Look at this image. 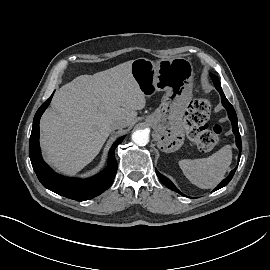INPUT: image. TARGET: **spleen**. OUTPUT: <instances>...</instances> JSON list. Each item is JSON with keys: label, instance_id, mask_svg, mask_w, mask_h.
I'll list each match as a JSON object with an SVG mask.
<instances>
[{"label": "spleen", "instance_id": "obj_1", "mask_svg": "<svg viewBox=\"0 0 270 270\" xmlns=\"http://www.w3.org/2000/svg\"><path fill=\"white\" fill-rule=\"evenodd\" d=\"M231 161V146L226 145L207 158L180 160L179 166L192 184L202 189H210L223 180Z\"/></svg>", "mask_w": 270, "mask_h": 270}]
</instances>
